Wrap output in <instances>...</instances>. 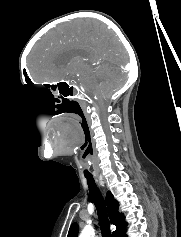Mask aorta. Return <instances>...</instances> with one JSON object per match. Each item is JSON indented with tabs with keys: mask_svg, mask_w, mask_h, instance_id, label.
I'll list each match as a JSON object with an SVG mask.
<instances>
[{
	"mask_svg": "<svg viewBox=\"0 0 181 237\" xmlns=\"http://www.w3.org/2000/svg\"><path fill=\"white\" fill-rule=\"evenodd\" d=\"M94 235V230L91 226H86L79 237H93Z\"/></svg>",
	"mask_w": 181,
	"mask_h": 237,
	"instance_id": "1",
	"label": "aorta"
}]
</instances>
